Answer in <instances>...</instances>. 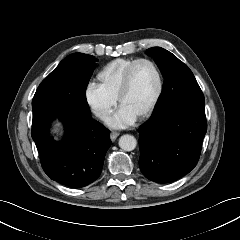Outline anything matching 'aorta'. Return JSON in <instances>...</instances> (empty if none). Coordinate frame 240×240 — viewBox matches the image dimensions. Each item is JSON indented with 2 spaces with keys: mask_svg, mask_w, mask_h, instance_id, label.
Segmentation results:
<instances>
[{
  "mask_svg": "<svg viewBox=\"0 0 240 240\" xmlns=\"http://www.w3.org/2000/svg\"><path fill=\"white\" fill-rule=\"evenodd\" d=\"M137 142L134 136L125 134L119 139V147L124 151H132L136 148Z\"/></svg>",
  "mask_w": 240,
  "mask_h": 240,
  "instance_id": "1",
  "label": "aorta"
}]
</instances>
